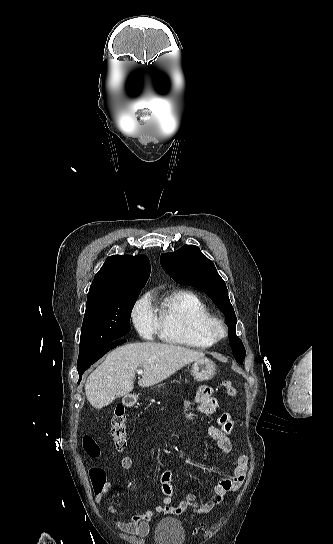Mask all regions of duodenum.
Returning a JSON list of instances; mask_svg holds the SVG:
<instances>
[{"label": "duodenum", "instance_id": "410a0bca", "mask_svg": "<svg viewBox=\"0 0 333 544\" xmlns=\"http://www.w3.org/2000/svg\"><path fill=\"white\" fill-rule=\"evenodd\" d=\"M124 403H125L127 406H129V407L133 406V405L136 403V398H135V396H133V395H127V396L124 398Z\"/></svg>", "mask_w": 333, "mask_h": 544}]
</instances>
